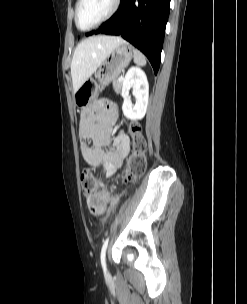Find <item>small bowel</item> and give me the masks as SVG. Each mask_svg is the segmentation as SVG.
I'll use <instances>...</instances> for the list:
<instances>
[{
  "label": "small bowel",
  "instance_id": "small-bowel-1",
  "mask_svg": "<svg viewBox=\"0 0 247 304\" xmlns=\"http://www.w3.org/2000/svg\"><path fill=\"white\" fill-rule=\"evenodd\" d=\"M116 116L115 105L97 103L83 110L80 121L82 157L88 165L102 168L106 177L116 172L130 151L129 137L123 131L113 135ZM110 143L114 149L106 151Z\"/></svg>",
  "mask_w": 247,
  "mask_h": 304
}]
</instances>
